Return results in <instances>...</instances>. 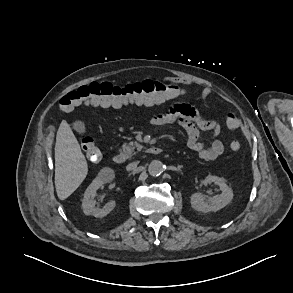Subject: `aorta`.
<instances>
[{"label": "aorta", "instance_id": "obj_1", "mask_svg": "<svg viewBox=\"0 0 293 293\" xmlns=\"http://www.w3.org/2000/svg\"><path fill=\"white\" fill-rule=\"evenodd\" d=\"M149 174L152 176H158L164 171V164L159 160H153L148 166Z\"/></svg>", "mask_w": 293, "mask_h": 293}]
</instances>
